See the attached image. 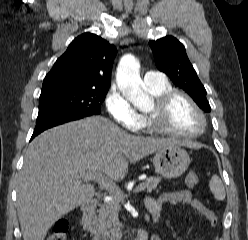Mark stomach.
Instances as JSON below:
<instances>
[{
    "label": "stomach",
    "instance_id": "1",
    "mask_svg": "<svg viewBox=\"0 0 248 240\" xmlns=\"http://www.w3.org/2000/svg\"><path fill=\"white\" fill-rule=\"evenodd\" d=\"M190 162L187 151L178 145L157 151L153 158L155 171L168 179L181 176Z\"/></svg>",
    "mask_w": 248,
    "mask_h": 240
}]
</instances>
